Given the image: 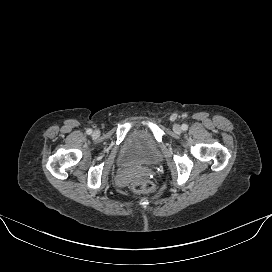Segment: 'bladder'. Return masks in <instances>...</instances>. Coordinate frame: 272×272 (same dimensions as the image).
<instances>
[{
    "label": "bladder",
    "mask_w": 272,
    "mask_h": 272,
    "mask_svg": "<svg viewBox=\"0 0 272 272\" xmlns=\"http://www.w3.org/2000/svg\"><path fill=\"white\" fill-rule=\"evenodd\" d=\"M161 159V150L152 133L146 128H137L124 138L118 162L122 167H130L155 164Z\"/></svg>",
    "instance_id": "1"
}]
</instances>
